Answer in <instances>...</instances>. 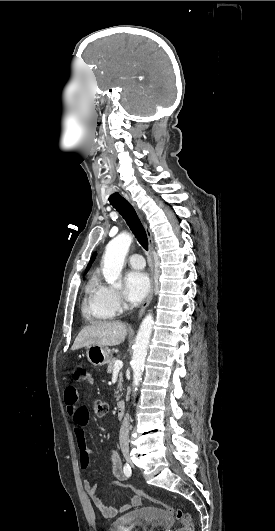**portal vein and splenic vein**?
<instances>
[{
    "mask_svg": "<svg viewBox=\"0 0 275 531\" xmlns=\"http://www.w3.org/2000/svg\"><path fill=\"white\" fill-rule=\"evenodd\" d=\"M123 363L122 361H115L114 369H122Z\"/></svg>",
    "mask_w": 275,
    "mask_h": 531,
    "instance_id": "obj_1",
    "label": "portal vein and splenic vein"
}]
</instances>
